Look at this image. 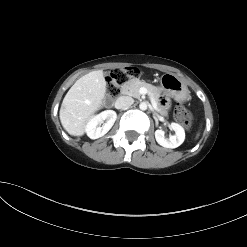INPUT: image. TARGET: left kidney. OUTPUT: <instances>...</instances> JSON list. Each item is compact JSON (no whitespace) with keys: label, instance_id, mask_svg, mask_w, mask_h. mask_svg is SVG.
I'll list each match as a JSON object with an SVG mask.
<instances>
[{"label":"left kidney","instance_id":"1","mask_svg":"<svg viewBox=\"0 0 247 247\" xmlns=\"http://www.w3.org/2000/svg\"><path fill=\"white\" fill-rule=\"evenodd\" d=\"M169 127L170 129L175 131V135H170L169 139H166L164 136V131L156 130L155 138L157 143L163 147L176 148L184 142L185 131L184 128L177 123H171Z\"/></svg>","mask_w":247,"mask_h":247}]
</instances>
